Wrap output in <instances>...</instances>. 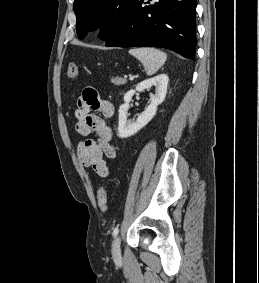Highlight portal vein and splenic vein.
<instances>
[{"label": "portal vein and splenic vein", "instance_id": "18ae733b", "mask_svg": "<svg viewBox=\"0 0 259 283\" xmlns=\"http://www.w3.org/2000/svg\"><path fill=\"white\" fill-rule=\"evenodd\" d=\"M129 79H130V80H133V79H134V77H133L132 75H130Z\"/></svg>", "mask_w": 259, "mask_h": 283}]
</instances>
